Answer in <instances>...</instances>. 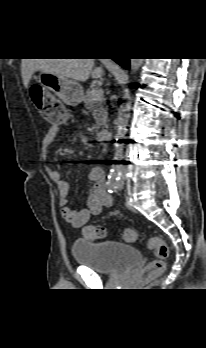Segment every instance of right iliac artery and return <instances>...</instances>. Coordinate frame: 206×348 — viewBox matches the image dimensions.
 <instances>
[{"label": "right iliac artery", "mask_w": 206, "mask_h": 348, "mask_svg": "<svg viewBox=\"0 0 206 348\" xmlns=\"http://www.w3.org/2000/svg\"><path fill=\"white\" fill-rule=\"evenodd\" d=\"M120 177H121V174L118 170H112V172L108 176V182H107L109 193H113L116 191L117 184H118V181L120 180Z\"/></svg>", "instance_id": "82829eb1"}]
</instances>
